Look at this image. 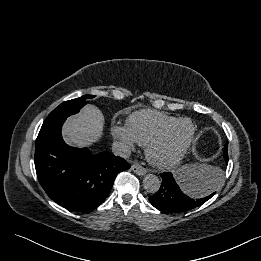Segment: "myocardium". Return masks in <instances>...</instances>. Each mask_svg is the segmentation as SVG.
I'll return each mask as SVG.
<instances>
[{
    "instance_id": "myocardium-1",
    "label": "myocardium",
    "mask_w": 261,
    "mask_h": 261,
    "mask_svg": "<svg viewBox=\"0 0 261 261\" xmlns=\"http://www.w3.org/2000/svg\"><path fill=\"white\" fill-rule=\"evenodd\" d=\"M187 122L191 125L190 135L185 142V144L178 150L176 154L169 158H160L156 155V148L164 141L168 134L180 123ZM196 125L188 118H178L172 123L164 127L160 132H158L146 145V157L148 161L155 167L160 169H166L177 165L187 154L191 145L194 142L196 135Z\"/></svg>"
}]
</instances>
